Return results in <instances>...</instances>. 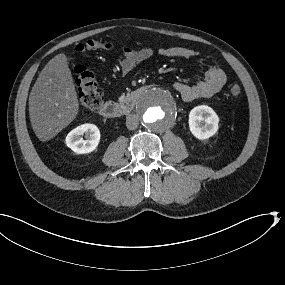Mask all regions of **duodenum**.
I'll return each instance as SVG.
<instances>
[{
    "label": "duodenum",
    "mask_w": 285,
    "mask_h": 285,
    "mask_svg": "<svg viewBox=\"0 0 285 285\" xmlns=\"http://www.w3.org/2000/svg\"><path fill=\"white\" fill-rule=\"evenodd\" d=\"M145 90L146 87H140L128 93L120 101L105 102L99 110L100 115L106 119H117L129 114Z\"/></svg>",
    "instance_id": "obj_1"
}]
</instances>
